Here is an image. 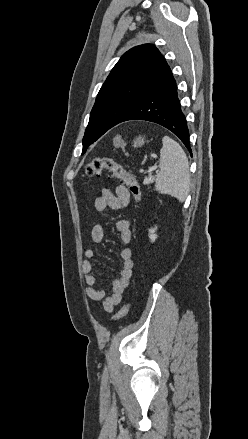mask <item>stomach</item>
I'll return each instance as SVG.
<instances>
[{"label":"stomach","mask_w":248,"mask_h":439,"mask_svg":"<svg viewBox=\"0 0 248 439\" xmlns=\"http://www.w3.org/2000/svg\"><path fill=\"white\" fill-rule=\"evenodd\" d=\"M144 143H145L144 137L139 136L134 140L133 146L134 147H141L142 145H144Z\"/></svg>","instance_id":"1"}]
</instances>
